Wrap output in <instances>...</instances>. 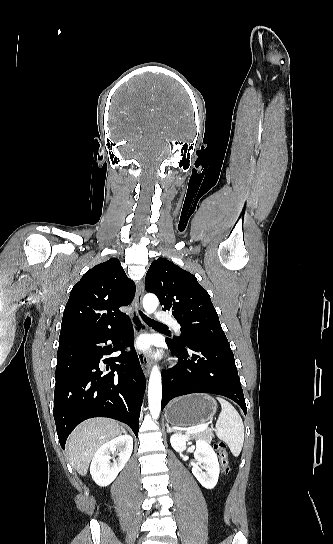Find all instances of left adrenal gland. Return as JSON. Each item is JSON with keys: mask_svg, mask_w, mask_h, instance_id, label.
<instances>
[{"mask_svg": "<svg viewBox=\"0 0 333 544\" xmlns=\"http://www.w3.org/2000/svg\"><path fill=\"white\" fill-rule=\"evenodd\" d=\"M166 427H167V432H168V433H171V432H173V431H174V429H173V428H171V427L169 426V424H168V423H166Z\"/></svg>", "mask_w": 333, "mask_h": 544, "instance_id": "a2214340", "label": "left adrenal gland"}]
</instances>
